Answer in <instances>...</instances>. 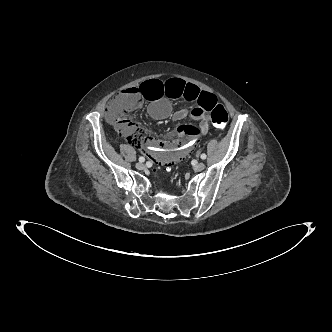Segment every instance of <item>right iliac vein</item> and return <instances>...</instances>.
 I'll return each mask as SVG.
<instances>
[{"instance_id": "63e3f726", "label": "right iliac vein", "mask_w": 332, "mask_h": 332, "mask_svg": "<svg viewBox=\"0 0 332 332\" xmlns=\"http://www.w3.org/2000/svg\"><path fill=\"white\" fill-rule=\"evenodd\" d=\"M136 168L138 170H143L145 168V165L142 162H137L136 163Z\"/></svg>"}]
</instances>
